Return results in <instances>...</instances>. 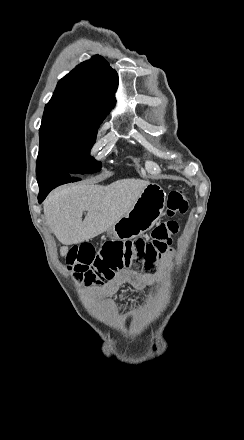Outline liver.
Segmentation results:
<instances>
[{
  "label": "liver",
  "mask_w": 244,
  "mask_h": 440,
  "mask_svg": "<svg viewBox=\"0 0 244 440\" xmlns=\"http://www.w3.org/2000/svg\"><path fill=\"white\" fill-rule=\"evenodd\" d=\"M147 180H118L110 186L79 184L61 186L46 198L43 204L45 220L55 234L61 256H67L68 246L81 244L109 230L123 218L142 190L149 186ZM83 212L87 216L82 222Z\"/></svg>",
  "instance_id": "liver-1"
}]
</instances>
